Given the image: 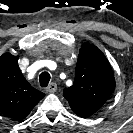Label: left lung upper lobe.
<instances>
[{
  "label": "left lung upper lobe",
  "instance_id": "1",
  "mask_svg": "<svg viewBox=\"0 0 133 133\" xmlns=\"http://www.w3.org/2000/svg\"><path fill=\"white\" fill-rule=\"evenodd\" d=\"M114 88V74L107 58L93 44L84 43L79 51L74 83L63 91L73 112L80 117L93 115Z\"/></svg>",
  "mask_w": 133,
  "mask_h": 133
}]
</instances>
